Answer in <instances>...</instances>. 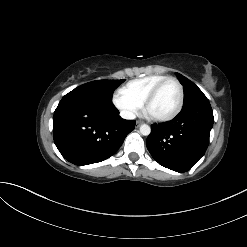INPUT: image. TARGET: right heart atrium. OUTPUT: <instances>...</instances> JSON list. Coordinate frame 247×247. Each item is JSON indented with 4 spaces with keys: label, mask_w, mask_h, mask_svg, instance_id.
Returning <instances> with one entry per match:
<instances>
[{
    "label": "right heart atrium",
    "mask_w": 247,
    "mask_h": 247,
    "mask_svg": "<svg viewBox=\"0 0 247 247\" xmlns=\"http://www.w3.org/2000/svg\"><path fill=\"white\" fill-rule=\"evenodd\" d=\"M112 102L122 116L128 119L134 118L141 109V104L129 97L122 90L114 93Z\"/></svg>",
    "instance_id": "right-heart-atrium-1"
}]
</instances>
